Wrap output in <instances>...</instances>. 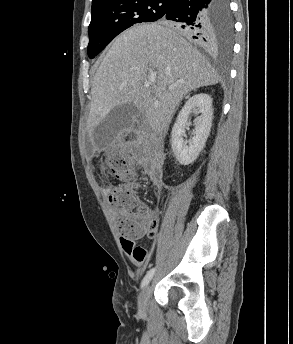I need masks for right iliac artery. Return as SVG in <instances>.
Returning a JSON list of instances; mask_svg holds the SVG:
<instances>
[{
	"instance_id": "1",
	"label": "right iliac artery",
	"mask_w": 293,
	"mask_h": 344,
	"mask_svg": "<svg viewBox=\"0 0 293 344\" xmlns=\"http://www.w3.org/2000/svg\"><path fill=\"white\" fill-rule=\"evenodd\" d=\"M154 273H155V269H154V268L150 269V270L146 273L145 277H144L143 280H142L141 288H144L145 286L148 285V283H149L150 280L152 279Z\"/></svg>"
}]
</instances>
